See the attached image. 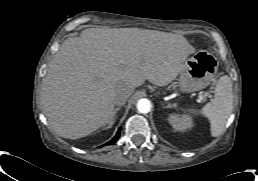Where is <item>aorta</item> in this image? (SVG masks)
I'll return each instance as SVG.
<instances>
[{
    "instance_id": "aorta-1",
    "label": "aorta",
    "mask_w": 258,
    "mask_h": 181,
    "mask_svg": "<svg viewBox=\"0 0 258 181\" xmlns=\"http://www.w3.org/2000/svg\"><path fill=\"white\" fill-rule=\"evenodd\" d=\"M137 110L139 111V113H142V114H146V113L150 112L151 102L146 98L140 99L137 102Z\"/></svg>"
}]
</instances>
